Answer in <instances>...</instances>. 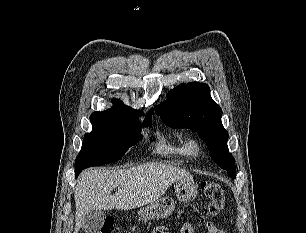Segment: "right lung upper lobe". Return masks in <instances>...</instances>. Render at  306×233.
Segmentation results:
<instances>
[{
    "label": "right lung upper lobe",
    "mask_w": 306,
    "mask_h": 233,
    "mask_svg": "<svg viewBox=\"0 0 306 233\" xmlns=\"http://www.w3.org/2000/svg\"><path fill=\"white\" fill-rule=\"evenodd\" d=\"M112 103L114 106L110 109H107L106 111H102L101 113H111V114H118V115H125V116H140L141 113L138 110H134L133 108L129 106H125L122 101L119 99H113ZM99 113V112H94ZM153 113V109H151L148 112V115H151Z\"/></svg>",
    "instance_id": "cb5924a9"
}]
</instances>
